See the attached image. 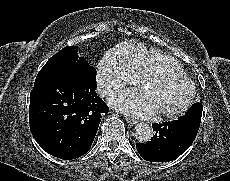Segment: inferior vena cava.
I'll use <instances>...</instances> for the list:
<instances>
[{"label": "inferior vena cava", "mask_w": 230, "mask_h": 181, "mask_svg": "<svg viewBox=\"0 0 230 181\" xmlns=\"http://www.w3.org/2000/svg\"><path fill=\"white\" fill-rule=\"evenodd\" d=\"M112 91L111 86L108 83L99 82L97 86V92L102 96L105 97Z\"/></svg>", "instance_id": "1"}]
</instances>
